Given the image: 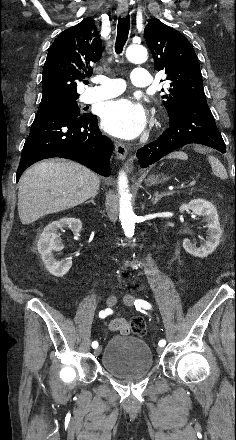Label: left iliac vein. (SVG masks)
I'll list each match as a JSON object with an SVG mask.
<instances>
[{
    "label": "left iliac vein",
    "mask_w": 236,
    "mask_h": 440,
    "mask_svg": "<svg viewBox=\"0 0 236 440\" xmlns=\"http://www.w3.org/2000/svg\"><path fill=\"white\" fill-rule=\"evenodd\" d=\"M124 303L128 306H132L134 304V297L132 295H125L124 299H123ZM157 352L158 353H162L163 352V348L162 347H158L157 348Z\"/></svg>",
    "instance_id": "4c4485c4"
}]
</instances>
